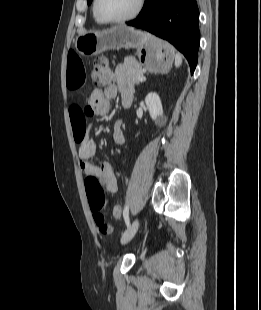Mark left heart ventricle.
<instances>
[{
  "instance_id": "b2bd125f",
  "label": "left heart ventricle",
  "mask_w": 261,
  "mask_h": 310,
  "mask_svg": "<svg viewBox=\"0 0 261 310\" xmlns=\"http://www.w3.org/2000/svg\"><path fill=\"white\" fill-rule=\"evenodd\" d=\"M137 0H99L98 9L106 18H121L130 14Z\"/></svg>"
}]
</instances>
